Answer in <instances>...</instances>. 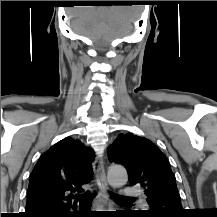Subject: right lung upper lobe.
<instances>
[{"label": "right lung upper lobe", "mask_w": 217, "mask_h": 217, "mask_svg": "<svg viewBox=\"0 0 217 217\" xmlns=\"http://www.w3.org/2000/svg\"><path fill=\"white\" fill-rule=\"evenodd\" d=\"M94 152L77 139L66 137L46 151L29 180L24 217H59L71 214L69 194L82 192L92 178ZM72 195V194H70ZM77 201V200H75Z\"/></svg>", "instance_id": "right-lung-upper-lobe-1"}]
</instances>
